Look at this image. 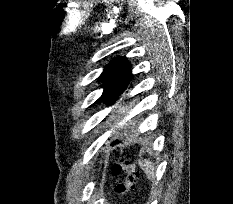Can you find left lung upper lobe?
<instances>
[{"label": "left lung upper lobe", "instance_id": "5c2ea615", "mask_svg": "<svg viewBox=\"0 0 233 204\" xmlns=\"http://www.w3.org/2000/svg\"><path fill=\"white\" fill-rule=\"evenodd\" d=\"M132 77L127 58L118 57L112 60L106 65L99 77L105 82V89L101 98L108 103L115 102L119 95L125 91Z\"/></svg>", "mask_w": 233, "mask_h": 204}]
</instances>
